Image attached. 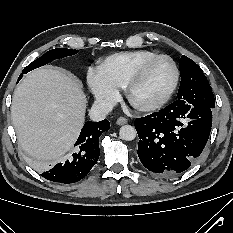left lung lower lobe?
Listing matches in <instances>:
<instances>
[{
  "label": "left lung lower lobe",
  "mask_w": 233,
  "mask_h": 233,
  "mask_svg": "<svg viewBox=\"0 0 233 233\" xmlns=\"http://www.w3.org/2000/svg\"><path fill=\"white\" fill-rule=\"evenodd\" d=\"M212 109L175 101L159 112L137 118V153L143 166L161 177L188 169L207 143Z\"/></svg>",
  "instance_id": "left-lung-lower-lobe-1"
}]
</instances>
